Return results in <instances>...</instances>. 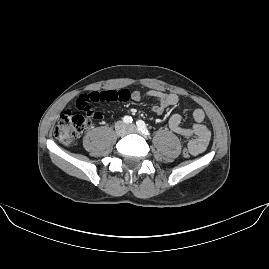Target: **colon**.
<instances>
[{"label": "colon", "mask_w": 269, "mask_h": 269, "mask_svg": "<svg viewBox=\"0 0 269 269\" xmlns=\"http://www.w3.org/2000/svg\"><path fill=\"white\" fill-rule=\"evenodd\" d=\"M121 98L127 100L129 92L107 90L101 95L98 92H84L80 94L76 106L78 110L84 111L86 115H82L74 110L63 111L54 128L56 138L63 144H73L83 132L101 119V111L96 108V105L102 101H113ZM179 153L185 158H188L190 155L186 147L180 148Z\"/></svg>", "instance_id": "1"}]
</instances>
